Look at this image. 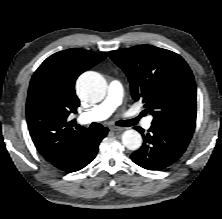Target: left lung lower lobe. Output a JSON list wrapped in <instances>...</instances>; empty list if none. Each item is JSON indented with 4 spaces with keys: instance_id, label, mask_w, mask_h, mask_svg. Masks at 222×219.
Segmentation results:
<instances>
[{
    "instance_id": "1",
    "label": "left lung lower lobe",
    "mask_w": 222,
    "mask_h": 219,
    "mask_svg": "<svg viewBox=\"0 0 222 219\" xmlns=\"http://www.w3.org/2000/svg\"><path fill=\"white\" fill-rule=\"evenodd\" d=\"M144 139L143 145L130 157L134 163L148 170H161L177 161L186 150L190 139L167 128L151 126L144 130L135 127Z\"/></svg>"
}]
</instances>
